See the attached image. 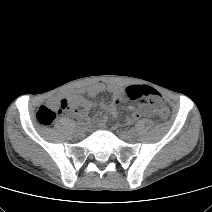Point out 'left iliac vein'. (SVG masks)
<instances>
[{
  "label": "left iliac vein",
  "instance_id": "4c4485c4",
  "mask_svg": "<svg viewBox=\"0 0 212 212\" xmlns=\"http://www.w3.org/2000/svg\"><path fill=\"white\" fill-rule=\"evenodd\" d=\"M119 136L124 141H131L134 138L133 134L129 131H120Z\"/></svg>",
  "mask_w": 212,
  "mask_h": 212
}]
</instances>
